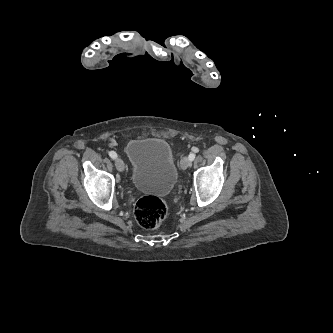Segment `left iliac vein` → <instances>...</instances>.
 <instances>
[{
	"label": "left iliac vein",
	"instance_id": "4c4485c4",
	"mask_svg": "<svg viewBox=\"0 0 333 333\" xmlns=\"http://www.w3.org/2000/svg\"><path fill=\"white\" fill-rule=\"evenodd\" d=\"M191 166V161L189 160L188 157H183L181 160V168L182 169H187L188 167Z\"/></svg>",
	"mask_w": 333,
	"mask_h": 333
}]
</instances>
